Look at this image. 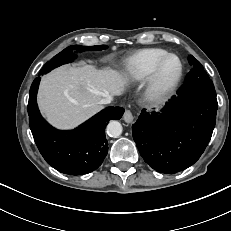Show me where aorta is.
I'll list each match as a JSON object with an SVG mask.
<instances>
[{
    "mask_svg": "<svg viewBox=\"0 0 231 231\" xmlns=\"http://www.w3.org/2000/svg\"><path fill=\"white\" fill-rule=\"evenodd\" d=\"M123 131V127L121 125L120 122L118 121H111L108 125H107V134L110 137H119L122 134Z\"/></svg>",
    "mask_w": 231,
    "mask_h": 231,
    "instance_id": "obj_1",
    "label": "aorta"
}]
</instances>
